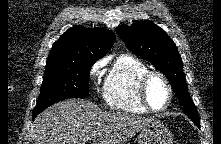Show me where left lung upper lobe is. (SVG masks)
I'll return each instance as SVG.
<instances>
[{"label": "left lung upper lobe", "instance_id": "5c2ea615", "mask_svg": "<svg viewBox=\"0 0 221 144\" xmlns=\"http://www.w3.org/2000/svg\"><path fill=\"white\" fill-rule=\"evenodd\" d=\"M116 31L128 49L155 65L167 77L184 113L193 122H200L186 86L181 56L167 33L150 21L121 25Z\"/></svg>", "mask_w": 221, "mask_h": 144}]
</instances>
